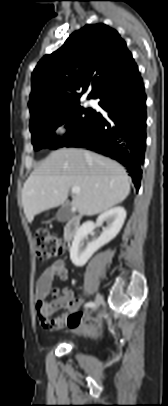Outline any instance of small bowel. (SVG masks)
Listing matches in <instances>:
<instances>
[{"label":"small bowel","instance_id":"obj_1","mask_svg":"<svg viewBox=\"0 0 168 406\" xmlns=\"http://www.w3.org/2000/svg\"><path fill=\"white\" fill-rule=\"evenodd\" d=\"M55 276H58L61 280L68 279L69 273L65 266V262L62 259H59L51 264L38 278L35 285V296L38 303L44 300L48 295ZM81 302V299L74 298L73 292L69 288H64L62 296L56 299L52 304L54 309L63 307L65 308L66 312L55 318V320L51 323H46L44 320H42V325L49 331L61 329L68 324L69 316L72 315ZM80 322L81 320L79 319L75 324L70 326L73 328H78L80 326ZM89 327L90 326L87 325L85 326V329L89 330Z\"/></svg>","mask_w":168,"mask_h":406}]
</instances>
